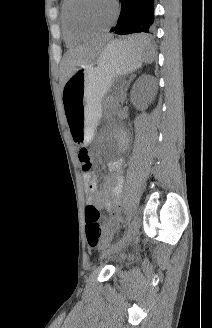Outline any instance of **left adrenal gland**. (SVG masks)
I'll list each match as a JSON object with an SVG mask.
<instances>
[{
	"label": "left adrenal gland",
	"instance_id": "left-adrenal-gland-1",
	"mask_svg": "<svg viewBox=\"0 0 212 328\" xmlns=\"http://www.w3.org/2000/svg\"><path fill=\"white\" fill-rule=\"evenodd\" d=\"M134 77H135L134 74L131 75V76L129 77V80H128L127 82H125L126 85L124 86V90L122 91V99H123V101L126 100V91H127L128 87H129V85H130V82L133 80Z\"/></svg>",
	"mask_w": 212,
	"mask_h": 328
}]
</instances>
